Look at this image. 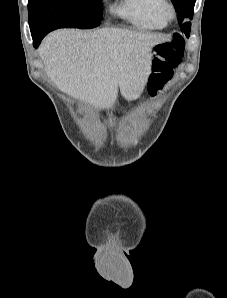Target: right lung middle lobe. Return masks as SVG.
<instances>
[{
    "label": "right lung middle lobe",
    "mask_w": 227,
    "mask_h": 298,
    "mask_svg": "<svg viewBox=\"0 0 227 298\" xmlns=\"http://www.w3.org/2000/svg\"><path fill=\"white\" fill-rule=\"evenodd\" d=\"M102 0H29L31 34L58 28L89 29L100 25Z\"/></svg>",
    "instance_id": "obj_1"
}]
</instances>
